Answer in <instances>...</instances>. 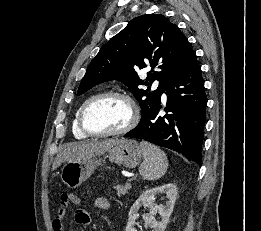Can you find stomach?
Masks as SVG:
<instances>
[{
	"mask_svg": "<svg viewBox=\"0 0 261 231\" xmlns=\"http://www.w3.org/2000/svg\"><path fill=\"white\" fill-rule=\"evenodd\" d=\"M141 146L135 140H122L107 151L104 158L66 162L61 170V180L69 188H76L85 182L105 159L126 168H135L142 160Z\"/></svg>",
	"mask_w": 261,
	"mask_h": 231,
	"instance_id": "obj_1",
	"label": "stomach"
}]
</instances>
